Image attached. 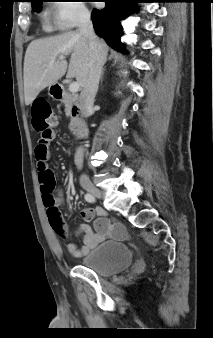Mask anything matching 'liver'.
Masks as SVG:
<instances>
[{
  "label": "liver",
  "instance_id": "liver-1",
  "mask_svg": "<svg viewBox=\"0 0 213 338\" xmlns=\"http://www.w3.org/2000/svg\"><path fill=\"white\" fill-rule=\"evenodd\" d=\"M101 43L107 54L108 46L103 41ZM69 54V66L65 60H57L58 56ZM67 68V77H75L77 83L84 87L90 69V48L88 40L79 32L70 31L32 41L24 59L25 104L30 105L43 89L55 85Z\"/></svg>",
  "mask_w": 213,
  "mask_h": 338
}]
</instances>
